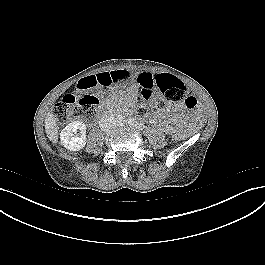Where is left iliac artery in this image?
<instances>
[{
    "label": "left iliac artery",
    "instance_id": "obj_1",
    "mask_svg": "<svg viewBox=\"0 0 265 265\" xmlns=\"http://www.w3.org/2000/svg\"><path fill=\"white\" fill-rule=\"evenodd\" d=\"M128 124L135 126V127H140L139 122H137L134 118H128L127 120Z\"/></svg>",
    "mask_w": 265,
    "mask_h": 265
}]
</instances>
